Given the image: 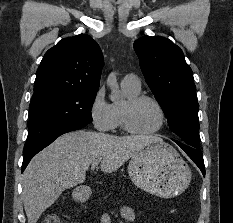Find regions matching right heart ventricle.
<instances>
[{
    "mask_svg": "<svg viewBox=\"0 0 233 223\" xmlns=\"http://www.w3.org/2000/svg\"><path fill=\"white\" fill-rule=\"evenodd\" d=\"M123 92L125 98L128 100L132 97H135L140 94L141 87L140 88H134V87H123ZM123 103H114L112 105L113 109V116H114V127L117 129L125 130L123 125V117H122V109H123Z\"/></svg>",
    "mask_w": 233,
    "mask_h": 223,
    "instance_id": "1",
    "label": "right heart ventricle"
}]
</instances>
